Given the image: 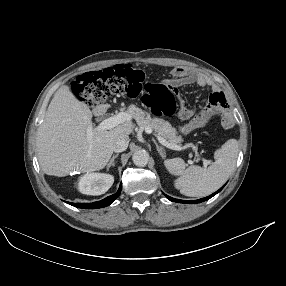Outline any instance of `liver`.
Masks as SVG:
<instances>
[{
	"mask_svg": "<svg viewBox=\"0 0 286 286\" xmlns=\"http://www.w3.org/2000/svg\"><path fill=\"white\" fill-rule=\"evenodd\" d=\"M91 119L89 107L68 86L56 91L37 133L38 161L44 173L62 177L72 171H98L111 158L116 138L133 130L131 120L101 130L92 126Z\"/></svg>",
	"mask_w": 286,
	"mask_h": 286,
	"instance_id": "1",
	"label": "liver"
}]
</instances>
